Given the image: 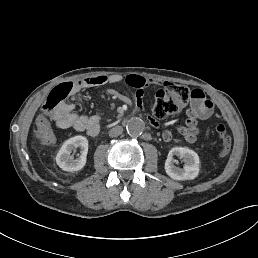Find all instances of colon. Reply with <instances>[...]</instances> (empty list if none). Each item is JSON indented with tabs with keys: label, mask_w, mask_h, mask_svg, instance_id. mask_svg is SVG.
Returning <instances> with one entry per match:
<instances>
[{
	"label": "colon",
	"mask_w": 258,
	"mask_h": 258,
	"mask_svg": "<svg viewBox=\"0 0 258 258\" xmlns=\"http://www.w3.org/2000/svg\"><path fill=\"white\" fill-rule=\"evenodd\" d=\"M75 93V83L64 82L54 87L43 106L42 115L45 119L54 117L57 109L69 102L70 97ZM191 97L190 90L180 84L164 83L156 92L153 105V115L157 119H163L169 115L178 113ZM216 131L221 139L220 155L225 157L231 150L232 140L227 134L223 124L216 126Z\"/></svg>",
	"instance_id": "1"
}]
</instances>
